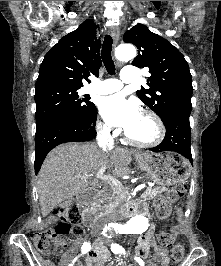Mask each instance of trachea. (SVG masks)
Instances as JSON below:
<instances>
[{"label":"trachea","instance_id":"1","mask_svg":"<svg viewBox=\"0 0 221 266\" xmlns=\"http://www.w3.org/2000/svg\"><path fill=\"white\" fill-rule=\"evenodd\" d=\"M112 38L107 34L104 38L102 45L101 56L104 63V66L109 74H115V65L112 60L111 51H112Z\"/></svg>","mask_w":221,"mask_h":266}]
</instances>
